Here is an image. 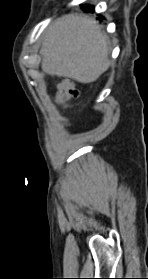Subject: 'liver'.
<instances>
[{"mask_svg": "<svg viewBox=\"0 0 148 279\" xmlns=\"http://www.w3.org/2000/svg\"><path fill=\"white\" fill-rule=\"evenodd\" d=\"M42 69L80 83L96 81L110 66L107 35L87 17L66 15L44 32Z\"/></svg>", "mask_w": 148, "mask_h": 279, "instance_id": "liver-1", "label": "liver"}]
</instances>
